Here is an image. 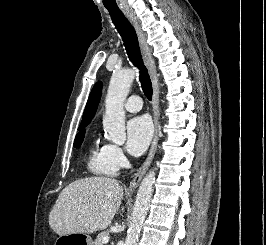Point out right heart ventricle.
<instances>
[{"mask_svg":"<svg viewBox=\"0 0 266 245\" xmlns=\"http://www.w3.org/2000/svg\"><path fill=\"white\" fill-rule=\"evenodd\" d=\"M87 153V168L90 173L102 178H112L117 175L118 169L109 157L106 144L94 140L89 144Z\"/></svg>","mask_w":266,"mask_h":245,"instance_id":"right-heart-ventricle-1","label":"right heart ventricle"}]
</instances>
